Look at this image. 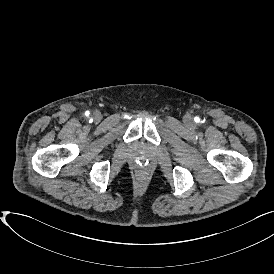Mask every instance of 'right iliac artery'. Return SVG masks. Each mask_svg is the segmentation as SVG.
Returning <instances> with one entry per match:
<instances>
[{
  "instance_id": "obj_1",
  "label": "right iliac artery",
  "mask_w": 274,
  "mask_h": 274,
  "mask_svg": "<svg viewBox=\"0 0 274 274\" xmlns=\"http://www.w3.org/2000/svg\"><path fill=\"white\" fill-rule=\"evenodd\" d=\"M85 114H86V116H89V114H90V113H89V111H86V113H85Z\"/></svg>"
}]
</instances>
